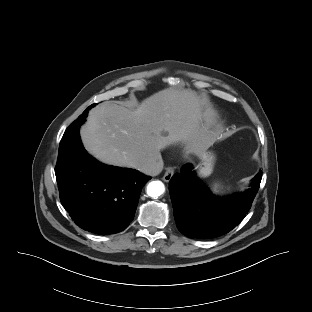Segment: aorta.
<instances>
[{"instance_id": "762f6f07", "label": "aorta", "mask_w": 312, "mask_h": 312, "mask_svg": "<svg viewBox=\"0 0 312 312\" xmlns=\"http://www.w3.org/2000/svg\"><path fill=\"white\" fill-rule=\"evenodd\" d=\"M146 192L148 196L152 198H158L165 192V186L159 180L152 181L147 185Z\"/></svg>"}]
</instances>
